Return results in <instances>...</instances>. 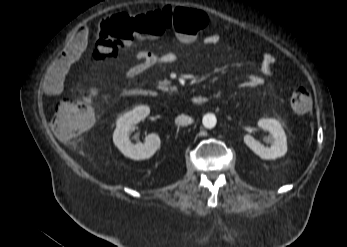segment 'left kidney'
I'll use <instances>...</instances> for the list:
<instances>
[{
	"label": "left kidney",
	"mask_w": 347,
	"mask_h": 247,
	"mask_svg": "<svg viewBox=\"0 0 347 247\" xmlns=\"http://www.w3.org/2000/svg\"><path fill=\"white\" fill-rule=\"evenodd\" d=\"M258 126L271 133L273 137L271 147H265L250 134L244 136V143L262 159L270 160L284 156L287 152V137L279 121L263 118L259 120Z\"/></svg>",
	"instance_id": "5707ae66"
}]
</instances>
